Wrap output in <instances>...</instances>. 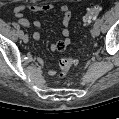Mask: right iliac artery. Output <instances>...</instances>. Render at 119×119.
<instances>
[{
	"label": "right iliac artery",
	"mask_w": 119,
	"mask_h": 119,
	"mask_svg": "<svg viewBox=\"0 0 119 119\" xmlns=\"http://www.w3.org/2000/svg\"><path fill=\"white\" fill-rule=\"evenodd\" d=\"M23 35H24L23 30H20V31H19V36L22 38Z\"/></svg>",
	"instance_id": "right-iliac-artery-1"
}]
</instances>
